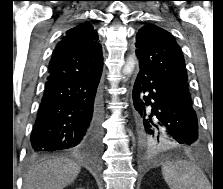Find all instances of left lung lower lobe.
Masks as SVG:
<instances>
[{
  "label": "left lung lower lobe",
  "mask_w": 223,
  "mask_h": 189,
  "mask_svg": "<svg viewBox=\"0 0 223 189\" xmlns=\"http://www.w3.org/2000/svg\"><path fill=\"white\" fill-rule=\"evenodd\" d=\"M133 103L140 131L159 129L178 149L200 147L193 107L181 101L156 72L142 65L133 87Z\"/></svg>",
  "instance_id": "1"
}]
</instances>
